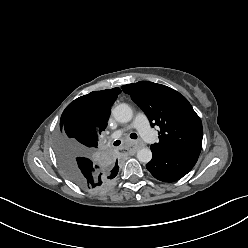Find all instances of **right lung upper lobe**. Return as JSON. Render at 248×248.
Returning a JSON list of instances; mask_svg holds the SVG:
<instances>
[{
  "label": "right lung upper lobe",
  "instance_id": "right-lung-upper-lobe-1",
  "mask_svg": "<svg viewBox=\"0 0 248 248\" xmlns=\"http://www.w3.org/2000/svg\"><path fill=\"white\" fill-rule=\"evenodd\" d=\"M120 92V88L93 91L77 98L64 110L60 122L73 119L87 133L89 145H81L85 151L93 154L97 152L99 137L107 126L111 106ZM108 163L111 171L117 173V162Z\"/></svg>",
  "mask_w": 248,
  "mask_h": 248
}]
</instances>
